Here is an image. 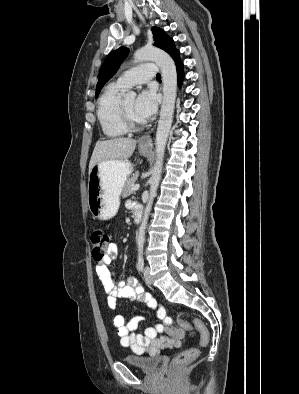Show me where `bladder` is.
<instances>
[{
	"instance_id": "31cf9c89",
	"label": "bladder",
	"mask_w": 299,
	"mask_h": 394,
	"mask_svg": "<svg viewBox=\"0 0 299 394\" xmlns=\"http://www.w3.org/2000/svg\"><path fill=\"white\" fill-rule=\"evenodd\" d=\"M123 361L144 372H153L159 366L161 358L158 356L126 355Z\"/></svg>"
}]
</instances>
